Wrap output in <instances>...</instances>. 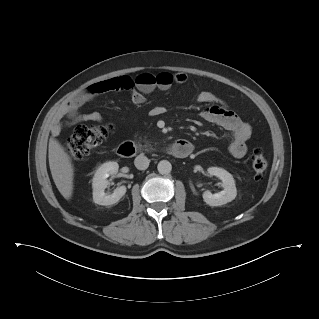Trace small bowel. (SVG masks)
I'll return each mask as SVG.
<instances>
[{"label": "small bowel", "mask_w": 319, "mask_h": 319, "mask_svg": "<svg viewBox=\"0 0 319 319\" xmlns=\"http://www.w3.org/2000/svg\"><path fill=\"white\" fill-rule=\"evenodd\" d=\"M130 80L128 76H113L105 78L97 83L86 87L81 93L70 99L61 108L58 116L51 128L53 135H58L62 126L75 122H101L102 115L98 112L79 114V109L87 102L97 96L106 94L118 89H122V84ZM186 81V75L183 73L170 74L167 72L159 74L158 84L150 88H131L130 97L134 104L142 105L146 101L145 95L152 92L154 89L167 90L173 83L183 84ZM196 100L199 103H209L210 105L203 109L200 117L210 123L216 124L231 134V142L228 146V152L235 159L243 158L247 153L246 142L250 138L252 129L251 126L240 119L238 115L228 108L221 100L211 92L201 91L197 94ZM163 109L156 106L151 109L152 115H160ZM67 119V120H66Z\"/></svg>", "instance_id": "obj_1"}]
</instances>
